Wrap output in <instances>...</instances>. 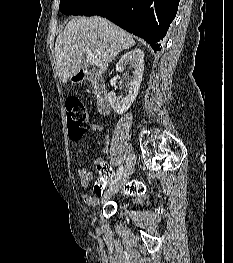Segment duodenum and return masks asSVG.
<instances>
[{
    "label": "duodenum",
    "mask_w": 233,
    "mask_h": 263,
    "mask_svg": "<svg viewBox=\"0 0 233 263\" xmlns=\"http://www.w3.org/2000/svg\"><path fill=\"white\" fill-rule=\"evenodd\" d=\"M75 79L77 81H92L97 109L101 114H108L110 112V102L104 80L97 75H92L84 71H79L76 74Z\"/></svg>",
    "instance_id": "duodenum-1"
}]
</instances>
